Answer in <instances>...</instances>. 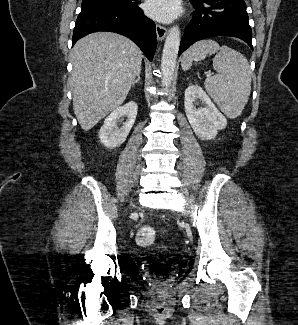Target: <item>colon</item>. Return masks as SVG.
<instances>
[{"instance_id":"colon-1","label":"colon","mask_w":298,"mask_h":325,"mask_svg":"<svg viewBox=\"0 0 298 325\" xmlns=\"http://www.w3.org/2000/svg\"><path fill=\"white\" fill-rule=\"evenodd\" d=\"M157 239V232L153 227L144 226L140 228L136 234V243L139 246L147 247L155 243ZM161 275L165 274L164 270H161Z\"/></svg>"}]
</instances>
